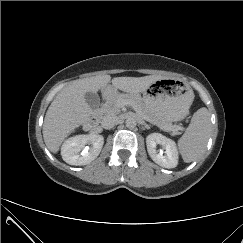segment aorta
I'll return each instance as SVG.
<instances>
[{"mask_svg":"<svg viewBox=\"0 0 243 243\" xmlns=\"http://www.w3.org/2000/svg\"><path fill=\"white\" fill-rule=\"evenodd\" d=\"M125 124H126V127L129 128V129H133L136 127L137 125V121L135 118L133 117H128L125 121Z\"/></svg>","mask_w":243,"mask_h":243,"instance_id":"obj_1","label":"aorta"}]
</instances>
